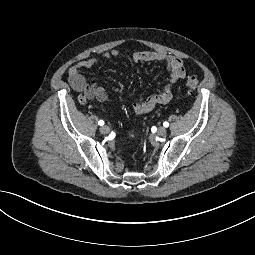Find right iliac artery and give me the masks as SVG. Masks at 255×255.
Here are the masks:
<instances>
[{"instance_id": "82829eb1", "label": "right iliac artery", "mask_w": 255, "mask_h": 255, "mask_svg": "<svg viewBox=\"0 0 255 255\" xmlns=\"http://www.w3.org/2000/svg\"><path fill=\"white\" fill-rule=\"evenodd\" d=\"M98 124H99L100 126H102V125H104V121H103V120H100V121L98 122Z\"/></svg>"}]
</instances>
